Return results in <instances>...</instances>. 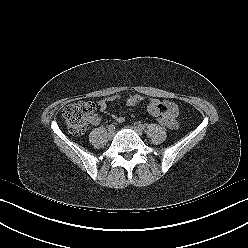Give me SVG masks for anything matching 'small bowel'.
I'll use <instances>...</instances> for the list:
<instances>
[{
    "mask_svg": "<svg viewBox=\"0 0 248 248\" xmlns=\"http://www.w3.org/2000/svg\"><path fill=\"white\" fill-rule=\"evenodd\" d=\"M116 100H122L126 105L128 106H136L142 102L147 101V111L155 116H163L167 118L169 121V128H175L177 126L176 117L178 114V108L177 105L173 102L169 101H159L157 99H149L147 100L144 96L139 94H130L126 96H120V95H109L98 102V106L102 112L107 113L108 111V103ZM92 123L94 125H97L100 123V117L98 115H94L92 117ZM118 122H123V117L117 118Z\"/></svg>",
    "mask_w": 248,
    "mask_h": 248,
    "instance_id": "small-bowel-1",
    "label": "small bowel"
}]
</instances>
